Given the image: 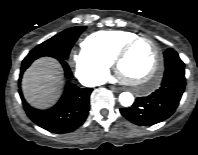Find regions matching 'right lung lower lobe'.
Listing matches in <instances>:
<instances>
[{
  "mask_svg": "<svg viewBox=\"0 0 198 155\" xmlns=\"http://www.w3.org/2000/svg\"><path fill=\"white\" fill-rule=\"evenodd\" d=\"M58 60L65 70V76L67 78L71 77V71L66 60ZM33 61L22 63L20 77ZM91 91L90 88H79L74 84H67L61 99L48 110L32 108L25 101L21 91L20 96L27 115L35 124L45 130L60 134L72 132L83 124L89 111Z\"/></svg>",
  "mask_w": 198,
  "mask_h": 155,
  "instance_id": "obj_1",
  "label": "right lung lower lobe"
}]
</instances>
